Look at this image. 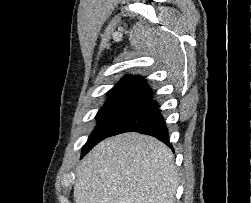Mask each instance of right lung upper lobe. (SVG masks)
Instances as JSON below:
<instances>
[{
	"mask_svg": "<svg viewBox=\"0 0 251 203\" xmlns=\"http://www.w3.org/2000/svg\"><path fill=\"white\" fill-rule=\"evenodd\" d=\"M152 91L140 76H126L108 92L104 107L138 108L143 112L156 107Z\"/></svg>",
	"mask_w": 251,
	"mask_h": 203,
	"instance_id": "cb5924a9",
	"label": "right lung upper lobe"
}]
</instances>
